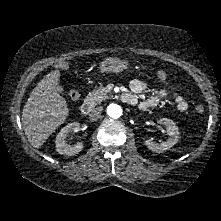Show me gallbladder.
Instances as JSON below:
<instances>
[{"mask_svg":"<svg viewBox=\"0 0 221 221\" xmlns=\"http://www.w3.org/2000/svg\"><path fill=\"white\" fill-rule=\"evenodd\" d=\"M60 93L62 94V93H63V90H61Z\"/></svg>","mask_w":221,"mask_h":221,"instance_id":"gallbladder-1","label":"gallbladder"}]
</instances>
